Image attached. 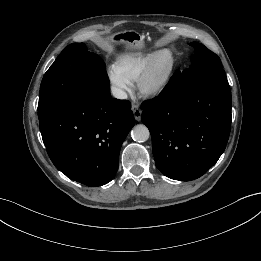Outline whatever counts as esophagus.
Listing matches in <instances>:
<instances>
[{"instance_id": "1", "label": "esophagus", "mask_w": 261, "mask_h": 261, "mask_svg": "<svg viewBox=\"0 0 261 261\" xmlns=\"http://www.w3.org/2000/svg\"><path fill=\"white\" fill-rule=\"evenodd\" d=\"M131 109L133 111V115H134L135 120L140 121L141 120L142 111L139 108V106L134 104V105H132Z\"/></svg>"}]
</instances>
